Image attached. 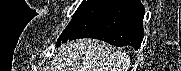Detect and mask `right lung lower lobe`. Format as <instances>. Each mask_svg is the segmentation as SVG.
<instances>
[{"label": "right lung lower lobe", "mask_w": 181, "mask_h": 71, "mask_svg": "<svg viewBox=\"0 0 181 71\" xmlns=\"http://www.w3.org/2000/svg\"><path fill=\"white\" fill-rule=\"evenodd\" d=\"M144 13L140 0H95L67 25L57 45L89 37L139 49L144 38Z\"/></svg>", "instance_id": "1"}]
</instances>
